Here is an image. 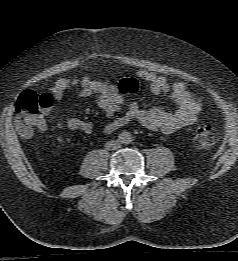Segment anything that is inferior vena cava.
I'll return each mask as SVG.
<instances>
[{
  "label": "inferior vena cava",
  "mask_w": 238,
  "mask_h": 261,
  "mask_svg": "<svg viewBox=\"0 0 238 261\" xmlns=\"http://www.w3.org/2000/svg\"><path fill=\"white\" fill-rule=\"evenodd\" d=\"M107 150H116L121 147V144L118 140L108 141L105 145Z\"/></svg>",
  "instance_id": "602c4592"
}]
</instances>
